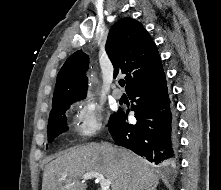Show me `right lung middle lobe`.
Listing matches in <instances>:
<instances>
[{
    "label": "right lung middle lobe",
    "mask_w": 221,
    "mask_h": 190,
    "mask_svg": "<svg viewBox=\"0 0 221 190\" xmlns=\"http://www.w3.org/2000/svg\"><path fill=\"white\" fill-rule=\"evenodd\" d=\"M76 101H63L58 102L52 105V110L49 115V122H48V141L51 142L55 137H57L62 132L68 130L65 112L70 107V104ZM115 113L110 117L109 124L115 117Z\"/></svg>",
    "instance_id": "1"
}]
</instances>
